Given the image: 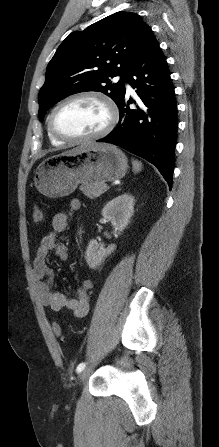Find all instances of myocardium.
<instances>
[{
	"label": "myocardium",
	"mask_w": 219,
	"mask_h": 447,
	"mask_svg": "<svg viewBox=\"0 0 219 447\" xmlns=\"http://www.w3.org/2000/svg\"><path fill=\"white\" fill-rule=\"evenodd\" d=\"M79 99H93V100L98 101L105 107V109L107 111V122H106L105 126L101 130L97 131L96 133H93V134L87 135V136H82V137H69V136L59 133L54 125V117H55L56 112L63 105H65L69 102L75 101V100H79ZM118 117H119L118 108H117L116 104L113 102V100L108 95H106L102 92H99V91L84 90V91L75 92L73 94L66 96L65 98L60 100L55 105V107L52 109V111L49 115V118H48V128H49L50 133L54 137H56L57 139H59L63 142L82 143V142L96 140V139H99V138H102V137L108 135L116 126Z\"/></svg>",
	"instance_id": "1"
}]
</instances>
